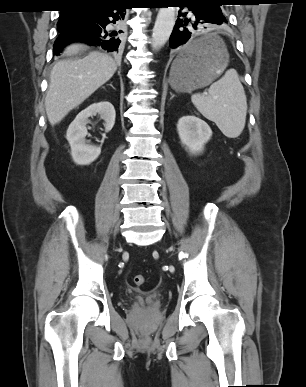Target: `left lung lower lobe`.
Segmentation results:
<instances>
[{"label": "left lung lower lobe", "mask_w": 306, "mask_h": 387, "mask_svg": "<svg viewBox=\"0 0 306 387\" xmlns=\"http://www.w3.org/2000/svg\"><path fill=\"white\" fill-rule=\"evenodd\" d=\"M180 9L187 7L189 12L180 13L176 20L173 32L170 36V47H183L182 62L187 63L194 57L199 56L206 50V45H197L190 47L189 39L193 32L188 26L197 29L199 24H217L221 27L227 24V19L221 9L220 4L215 2H201L196 0H181ZM189 14L191 17H186ZM206 28V27H205Z\"/></svg>", "instance_id": "1"}]
</instances>
